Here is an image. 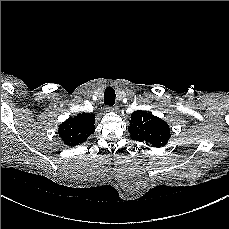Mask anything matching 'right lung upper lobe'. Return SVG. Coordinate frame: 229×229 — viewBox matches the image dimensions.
Masks as SVG:
<instances>
[{"label":"right lung upper lobe","mask_w":229,"mask_h":229,"mask_svg":"<svg viewBox=\"0 0 229 229\" xmlns=\"http://www.w3.org/2000/svg\"><path fill=\"white\" fill-rule=\"evenodd\" d=\"M95 115L79 113L68 118L58 129L63 142L68 146H75L83 143L95 132Z\"/></svg>","instance_id":"1"}]
</instances>
